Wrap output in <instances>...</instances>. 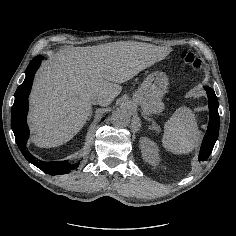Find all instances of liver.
<instances>
[{
	"label": "liver",
	"mask_w": 236,
	"mask_h": 236,
	"mask_svg": "<svg viewBox=\"0 0 236 236\" xmlns=\"http://www.w3.org/2000/svg\"><path fill=\"white\" fill-rule=\"evenodd\" d=\"M171 48L121 41L58 51L48 59L30 98L32 141L54 147L72 139L89 119L95 99L108 106L127 82L145 68L147 57L160 60Z\"/></svg>",
	"instance_id": "1"
}]
</instances>
